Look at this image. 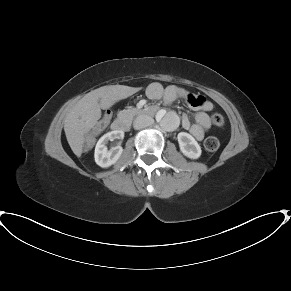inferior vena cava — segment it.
Returning <instances> with one entry per match:
<instances>
[{"label": "inferior vena cava", "instance_id": "602c4592", "mask_svg": "<svg viewBox=\"0 0 291 291\" xmlns=\"http://www.w3.org/2000/svg\"><path fill=\"white\" fill-rule=\"evenodd\" d=\"M154 122L153 118L147 115H140L138 117H136V119L133 122V127L136 130L148 127L150 125H152Z\"/></svg>", "mask_w": 291, "mask_h": 291}]
</instances>
